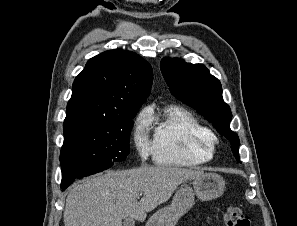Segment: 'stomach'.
I'll use <instances>...</instances> for the list:
<instances>
[{
  "mask_svg": "<svg viewBox=\"0 0 297 226\" xmlns=\"http://www.w3.org/2000/svg\"><path fill=\"white\" fill-rule=\"evenodd\" d=\"M224 188L225 181L215 173H205L190 184L183 182L171 204L154 213L146 226H175L179 218L191 209L195 196L202 201H209L220 197Z\"/></svg>",
  "mask_w": 297,
  "mask_h": 226,
  "instance_id": "stomach-1",
  "label": "stomach"
}]
</instances>
